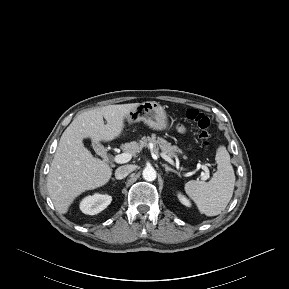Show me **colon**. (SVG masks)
Listing matches in <instances>:
<instances>
[{
  "instance_id": "colon-1",
  "label": "colon",
  "mask_w": 289,
  "mask_h": 289,
  "mask_svg": "<svg viewBox=\"0 0 289 289\" xmlns=\"http://www.w3.org/2000/svg\"><path fill=\"white\" fill-rule=\"evenodd\" d=\"M186 117L194 122L200 130L199 137L205 146L210 143L211 134L209 132L210 119L197 109H189L186 111Z\"/></svg>"
}]
</instances>
